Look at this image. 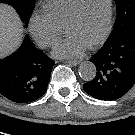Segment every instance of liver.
I'll use <instances>...</instances> for the list:
<instances>
[{"label": "liver", "instance_id": "6515ba94", "mask_svg": "<svg viewBox=\"0 0 135 135\" xmlns=\"http://www.w3.org/2000/svg\"><path fill=\"white\" fill-rule=\"evenodd\" d=\"M23 24L15 9L0 4V58L13 52L21 43Z\"/></svg>", "mask_w": 135, "mask_h": 135}]
</instances>
